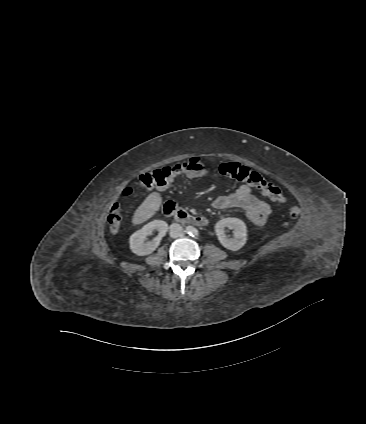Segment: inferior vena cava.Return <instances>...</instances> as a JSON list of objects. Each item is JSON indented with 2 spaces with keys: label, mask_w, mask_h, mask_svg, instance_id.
Wrapping results in <instances>:
<instances>
[{
  "label": "inferior vena cava",
  "mask_w": 366,
  "mask_h": 424,
  "mask_svg": "<svg viewBox=\"0 0 366 424\" xmlns=\"http://www.w3.org/2000/svg\"><path fill=\"white\" fill-rule=\"evenodd\" d=\"M169 228H170V237L179 238L182 236L183 228L180 224L172 223Z\"/></svg>",
  "instance_id": "inferior-vena-cava-1"
}]
</instances>
